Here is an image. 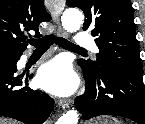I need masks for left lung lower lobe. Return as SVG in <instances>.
<instances>
[{
  "label": "left lung lower lobe",
  "instance_id": "left-lung-lower-lobe-1",
  "mask_svg": "<svg viewBox=\"0 0 145 124\" xmlns=\"http://www.w3.org/2000/svg\"><path fill=\"white\" fill-rule=\"evenodd\" d=\"M79 65L84 71L86 91L75 99V105L83 120L115 115L145 124V87L141 73L110 67L95 74L82 62Z\"/></svg>",
  "mask_w": 145,
  "mask_h": 124
}]
</instances>
